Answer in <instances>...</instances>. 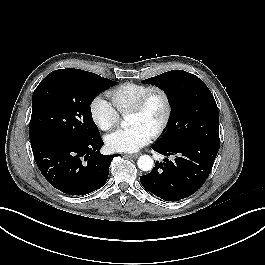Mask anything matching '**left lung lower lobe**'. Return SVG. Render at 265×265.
<instances>
[{
    "mask_svg": "<svg viewBox=\"0 0 265 265\" xmlns=\"http://www.w3.org/2000/svg\"><path fill=\"white\" fill-rule=\"evenodd\" d=\"M152 149L164 156H174L170 161L155 164V168L140 177L146 191L166 201H178L195 193L206 181L218 150L196 142H184L172 146L152 145Z\"/></svg>",
    "mask_w": 265,
    "mask_h": 265,
    "instance_id": "obj_1",
    "label": "left lung lower lobe"
}]
</instances>
